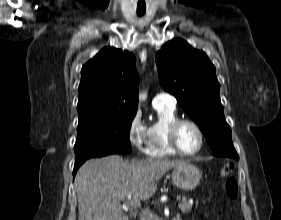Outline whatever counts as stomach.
<instances>
[{
  "label": "stomach",
  "mask_w": 281,
  "mask_h": 220,
  "mask_svg": "<svg viewBox=\"0 0 281 220\" xmlns=\"http://www.w3.org/2000/svg\"><path fill=\"white\" fill-rule=\"evenodd\" d=\"M201 180V173L199 169L189 163L177 166L172 171L173 183L184 190L194 189Z\"/></svg>",
  "instance_id": "stomach-1"
}]
</instances>
